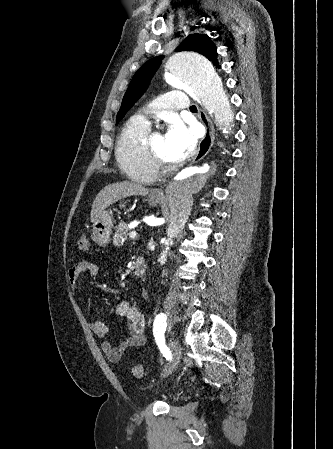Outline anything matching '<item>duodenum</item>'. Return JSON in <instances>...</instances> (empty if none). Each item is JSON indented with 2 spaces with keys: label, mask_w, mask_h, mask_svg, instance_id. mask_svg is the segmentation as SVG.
<instances>
[{
  "label": "duodenum",
  "mask_w": 333,
  "mask_h": 449,
  "mask_svg": "<svg viewBox=\"0 0 333 449\" xmlns=\"http://www.w3.org/2000/svg\"><path fill=\"white\" fill-rule=\"evenodd\" d=\"M133 270L135 275L143 276L146 272V261L143 257H136L133 263Z\"/></svg>",
  "instance_id": "duodenum-1"
}]
</instances>
